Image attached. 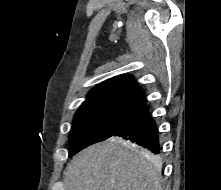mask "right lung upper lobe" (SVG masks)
<instances>
[{"label": "right lung upper lobe", "mask_w": 221, "mask_h": 190, "mask_svg": "<svg viewBox=\"0 0 221 190\" xmlns=\"http://www.w3.org/2000/svg\"><path fill=\"white\" fill-rule=\"evenodd\" d=\"M111 104L140 109L146 105L145 93L137 85L132 75H119L93 88L81 106Z\"/></svg>", "instance_id": "cb5924a9"}]
</instances>
